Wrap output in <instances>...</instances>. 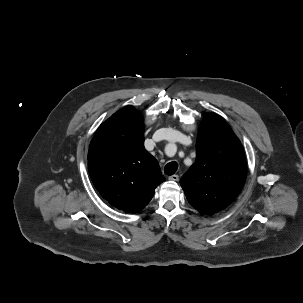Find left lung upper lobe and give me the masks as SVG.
Listing matches in <instances>:
<instances>
[{
  "instance_id": "1",
  "label": "left lung upper lobe",
  "mask_w": 303,
  "mask_h": 303,
  "mask_svg": "<svg viewBox=\"0 0 303 303\" xmlns=\"http://www.w3.org/2000/svg\"><path fill=\"white\" fill-rule=\"evenodd\" d=\"M242 144L219 116L206 114L196 142V161L180 180L188 202L201 214L225 209L244 186Z\"/></svg>"
}]
</instances>
